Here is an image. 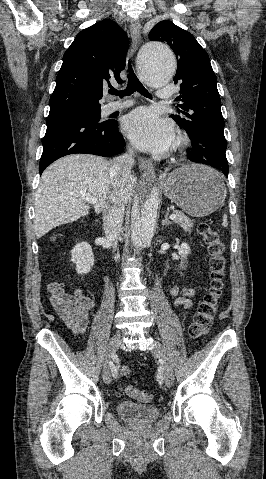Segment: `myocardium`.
<instances>
[{
  "instance_id": "myocardium-1",
  "label": "myocardium",
  "mask_w": 266,
  "mask_h": 479,
  "mask_svg": "<svg viewBox=\"0 0 266 479\" xmlns=\"http://www.w3.org/2000/svg\"><path fill=\"white\" fill-rule=\"evenodd\" d=\"M189 143L188 138L185 135H179L175 140V148H182L187 146Z\"/></svg>"
}]
</instances>
